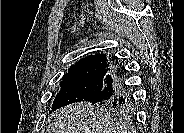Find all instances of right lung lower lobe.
<instances>
[{
	"label": "right lung lower lobe",
	"instance_id": "obj_1",
	"mask_svg": "<svg viewBox=\"0 0 184 133\" xmlns=\"http://www.w3.org/2000/svg\"><path fill=\"white\" fill-rule=\"evenodd\" d=\"M122 75L123 70L117 62L116 64L113 63L109 71L104 74V88L91 103L116 105L131 103V91L125 85Z\"/></svg>",
	"mask_w": 184,
	"mask_h": 133
}]
</instances>
